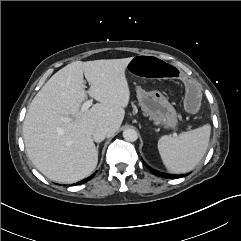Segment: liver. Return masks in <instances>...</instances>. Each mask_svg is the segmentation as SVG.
<instances>
[{"instance_id": "liver-1", "label": "liver", "mask_w": 241, "mask_h": 241, "mask_svg": "<svg viewBox=\"0 0 241 241\" xmlns=\"http://www.w3.org/2000/svg\"><path fill=\"white\" fill-rule=\"evenodd\" d=\"M132 60L75 61L56 72L32 100L23 123L26 152L34 166L58 183H75L92 174L98 163L93 132L112 136L121 126L130 89L125 70ZM88 94L99 103L81 111ZM71 116L70 122L61 117Z\"/></svg>"}]
</instances>
